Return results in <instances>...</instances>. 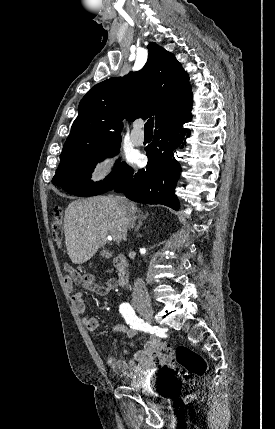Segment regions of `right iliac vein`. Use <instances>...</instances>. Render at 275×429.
<instances>
[{"label": "right iliac vein", "mask_w": 275, "mask_h": 429, "mask_svg": "<svg viewBox=\"0 0 275 429\" xmlns=\"http://www.w3.org/2000/svg\"><path fill=\"white\" fill-rule=\"evenodd\" d=\"M137 310L147 322L153 320V309L149 303H140L137 305Z\"/></svg>", "instance_id": "right-iliac-vein-1"}]
</instances>
